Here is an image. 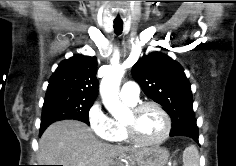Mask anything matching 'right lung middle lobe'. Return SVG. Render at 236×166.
<instances>
[{
	"mask_svg": "<svg viewBox=\"0 0 236 166\" xmlns=\"http://www.w3.org/2000/svg\"><path fill=\"white\" fill-rule=\"evenodd\" d=\"M94 100L68 96L45 97L40 128H47L51 123L64 119H75L89 125V110Z\"/></svg>",
	"mask_w": 236,
	"mask_h": 166,
	"instance_id": "obj_1",
	"label": "right lung middle lobe"
}]
</instances>
